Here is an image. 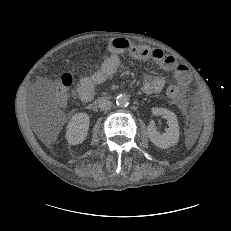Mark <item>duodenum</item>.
<instances>
[{
    "instance_id": "duodenum-1",
    "label": "duodenum",
    "mask_w": 231,
    "mask_h": 231,
    "mask_svg": "<svg viewBox=\"0 0 231 231\" xmlns=\"http://www.w3.org/2000/svg\"><path fill=\"white\" fill-rule=\"evenodd\" d=\"M101 99H98L94 104H92V107H96L100 103Z\"/></svg>"
}]
</instances>
